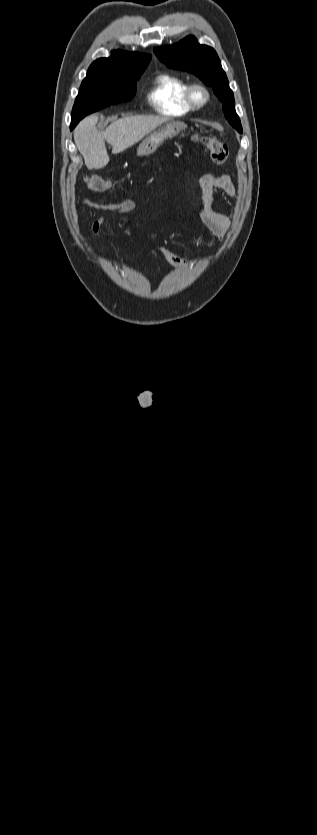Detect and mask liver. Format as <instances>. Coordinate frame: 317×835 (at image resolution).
<instances>
[{"label": "liver", "instance_id": "liver-1", "mask_svg": "<svg viewBox=\"0 0 317 835\" xmlns=\"http://www.w3.org/2000/svg\"><path fill=\"white\" fill-rule=\"evenodd\" d=\"M98 117L83 119L74 131V141L88 169H100L109 163L105 141L118 154L142 140L156 127L166 122L162 117L126 116L114 120L104 132L96 128Z\"/></svg>", "mask_w": 317, "mask_h": 835}]
</instances>
